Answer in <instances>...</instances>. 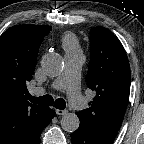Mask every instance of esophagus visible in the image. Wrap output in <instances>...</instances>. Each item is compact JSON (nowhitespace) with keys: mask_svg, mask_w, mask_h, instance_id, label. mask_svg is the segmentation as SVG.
<instances>
[{"mask_svg":"<svg viewBox=\"0 0 144 144\" xmlns=\"http://www.w3.org/2000/svg\"><path fill=\"white\" fill-rule=\"evenodd\" d=\"M67 113H68L67 110L56 109V114H57V115H65V114H67Z\"/></svg>","mask_w":144,"mask_h":144,"instance_id":"34e87169","label":"esophagus"}]
</instances>
